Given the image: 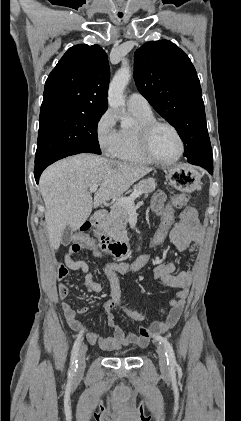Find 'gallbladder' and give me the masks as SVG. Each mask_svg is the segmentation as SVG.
<instances>
[{
	"label": "gallbladder",
	"mask_w": 241,
	"mask_h": 421,
	"mask_svg": "<svg viewBox=\"0 0 241 421\" xmlns=\"http://www.w3.org/2000/svg\"><path fill=\"white\" fill-rule=\"evenodd\" d=\"M72 233H73L72 228L70 226H66L63 231L62 241H61L64 246H67L71 243Z\"/></svg>",
	"instance_id": "obj_1"
}]
</instances>
